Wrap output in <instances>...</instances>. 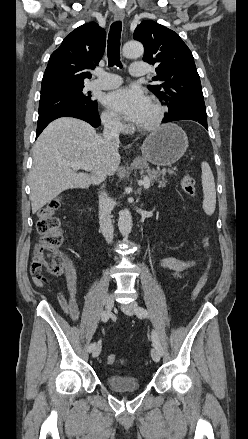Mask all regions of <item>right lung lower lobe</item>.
Instances as JSON below:
<instances>
[{"mask_svg": "<svg viewBox=\"0 0 248 439\" xmlns=\"http://www.w3.org/2000/svg\"><path fill=\"white\" fill-rule=\"evenodd\" d=\"M60 117H74L88 122L93 127H98L101 123L100 117L95 108L79 107H61L40 114L37 122L36 138L44 130V128L53 120Z\"/></svg>", "mask_w": 248, "mask_h": 439, "instance_id": "right-lung-lower-lobe-1", "label": "right lung lower lobe"}]
</instances>
